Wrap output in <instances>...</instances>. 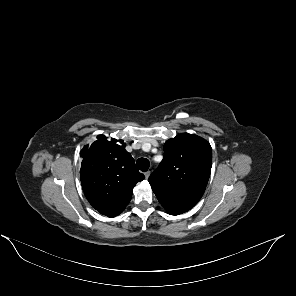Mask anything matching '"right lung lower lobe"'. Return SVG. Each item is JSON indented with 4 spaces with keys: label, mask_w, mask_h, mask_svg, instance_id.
<instances>
[{
    "label": "right lung lower lobe",
    "mask_w": 296,
    "mask_h": 296,
    "mask_svg": "<svg viewBox=\"0 0 296 296\" xmlns=\"http://www.w3.org/2000/svg\"><path fill=\"white\" fill-rule=\"evenodd\" d=\"M124 209H118V210H106L104 212H101V214L106 215L108 217H115L119 215Z\"/></svg>",
    "instance_id": "obj_1"
}]
</instances>
